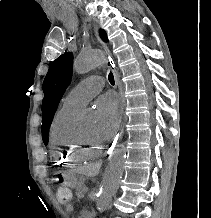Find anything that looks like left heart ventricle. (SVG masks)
Wrapping results in <instances>:
<instances>
[{"instance_id":"1","label":"left heart ventricle","mask_w":211,"mask_h":218,"mask_svg":"<svg viewBox=\"0 0 211 218\" xmlns=\"http://www.w3.org/2000/svg\"><path fill=\"white\" fill-rule=\"evenodd\" d=\"M83 134L90 139H97L99 138L97 134V128L95 124H87L81 128Z\"/></svg>"}]
</instances>
